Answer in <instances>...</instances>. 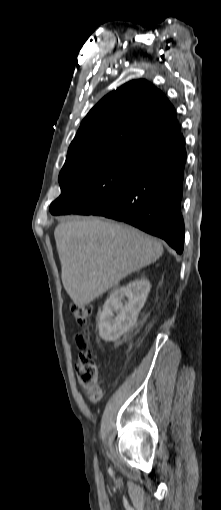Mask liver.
Listing matches in <instances>:
<instances>
[{
  "instance_id": "liver-1",
  "label": "liver",
  "mask_w": 221,
  "mask_h": 510,
  "mask_svg": "<svg viewBox=\"0 0 221 510\" xmlns=\"http://www.w3.org/2000/svg\"><path fill=\"white\" fill-rule=\"evenodd\" d=\"M54 236L62 284L78 307L88 305L163 253L157 239L129 225L95 217L63 221Z\"/></svg>"
}]
</instances>
